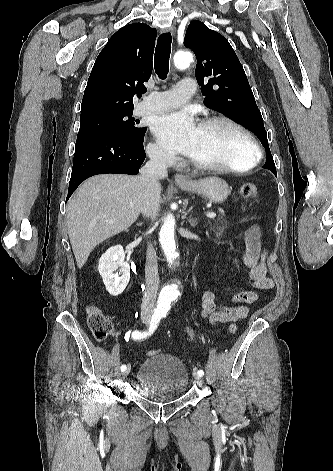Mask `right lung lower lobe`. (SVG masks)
<instances>
[{
	"instance_id": "1",
	"label": "right lung lower lobe",
	"mask_w": 333,
	"mask_h": 471,
	"mask_svg": "<svg viewBox=\"0 0 333 471\" xmlns=\"http://www.w3.org/2000/svg\"><path fill=\"white\" fill-rule=\"evenodd\" d=\"M143 141L112 132L78 134L66 201L81 182L93 175L138 174L146 156Z\"/></svg>"
}]
</instances>
